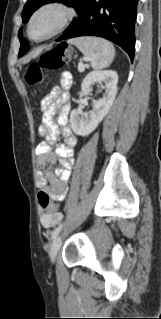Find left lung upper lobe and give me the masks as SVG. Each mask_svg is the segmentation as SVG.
<instances>
[{
	"instance_id": "5c2ea615",
	"label": "left lung upper lobe",
	"mask_w": 161,
	"mask_h": 319,
	"mask_svg": "<svg viewBox=\"0 0 161 319\" xmlns=\"http://www.w3.org/2000/svg\"><path fill=\"white\" fill-rule=\"evenodd\" d=\"M90 0H28L23 8L22 12V19L23 22H27L32 13L39 8L40 6L50 3V2H61L66 5L72 6L75 8V10L78 12L79 17L78 19H75L71 22V24L68 27V31L62 35L57 41L62 40V38L75 26V24L78 22V20L84 15L88 4ZM19 39L21 43L19 55H23L27 52L29 49V44L28 42L21 36V31L19 32ZM28 46L26 49L25 47Z\"/></svg>"
}]
</instances>
